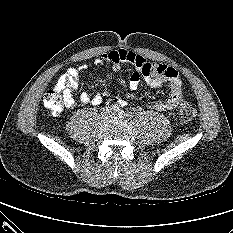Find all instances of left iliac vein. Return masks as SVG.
Returning <instances> with one entry per match:
<instances>
[{"label": "left iliac vein", "instance_id": "4c4485c4", "mask_svg": "<svg viewBox=\"0 0 233 233\" xmlns=\"http://www.w3.org/2000/svg\"><path fill=\"white\" fill-rule=\"evenodd\" d=\"M114 116L117 117V118H124L125 113H124V111L120 110V111L114 113Z\"/></svg>", "mask_w": 233, "mask_h": 233}]
</instances>
